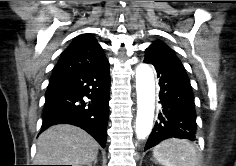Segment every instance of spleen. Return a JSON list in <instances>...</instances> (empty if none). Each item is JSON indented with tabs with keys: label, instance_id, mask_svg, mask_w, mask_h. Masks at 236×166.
Segmentation results:
<instances>
[{
	"label": "spleen",
	"instance_id": "obj_1",
	"mask_svg": "<svg viewBox=\"0 0 236 166\" xmlns=\"http://www.w3.org/2000/svg\"><path fill=\"white\" fill-rule=\"evenodd\" d=\"M153 154L156 160L163 166L198 165L194 146L183 139H167L154 148Z\"/></svg>",
	"mask_w": 236,
	"mask_h": 166
}]
</instances>
